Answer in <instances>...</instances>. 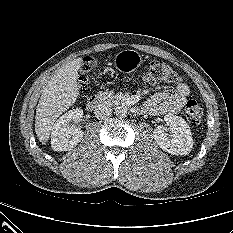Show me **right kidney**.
Here are the masks:
<instances>
[{"label":"right kidney","mask_w":233,"mask_h":233,"mask_svg":"<svg viewBox=\"0 0 233 233\" xmlns=\"http://www.w3.org/2000/svg\"><path fill=\"white\" fill-rule=\"evenodd\" d=\"M83 110L76 108L64 113L53 125L51 132V147L54 151H68L74 148L83 137L84 132L71 126L72 120H80Z\"/></svg>","instance_id":"ca27d5eb"}]
</instances>
